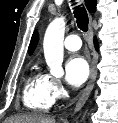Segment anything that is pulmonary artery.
Returning <instances> with one entry per match:
<instances>
[{"instance_id": "1", "label": "pulmonary artery", "mask_w": 118, "mask_h": 123, "mask_svg": "<svg viewBox=\"0 0 118 123\" xmlns=\"http://www.w3.org/2000/svg\"><path fill=\"white\" fill-rule=\"evenodd\" d=\"M82 42L78 35H68L64 40V46L69 51H77L81 48Z\"/></svg>"}]
</instances>
